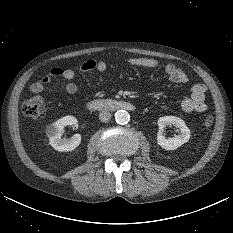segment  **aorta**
Instances as JSON below:
<instances>
[{
    "instance_id": "aorta-1",
    "label": "aorta",
    "mask_w": 233,
    "mask_h": 233,
    "mask_svg": "<svg viewBox=\"0 0 233 233\" xmlns=\"http://www.w3.org/2000/svg\"><path fill=\"white\" fill-rule=\"evenodd\" d=\"M115 120L118 124H127L130 120V115L126 110H118L115 113Z\"/></svg>"
}]
</instances>
